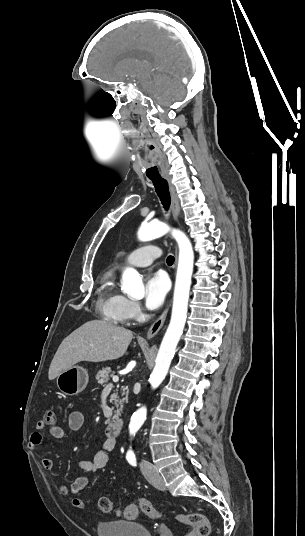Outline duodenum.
Here are the masks:
<instances>
[{
    "mask_svg": "<svg viewBox=\"0 0 305 536\" xmlns=\"http://www.w3.org/2000/svg\"><path fill=\"white\" fill-rule=\"evenodd\" d=\"M123 428L124 422L121 419H116L110 424L106 425L105 432L109 438H114L121 435V433L123 432Z\"/></svg>",
    "mask_w": 305,
    "mask_h": 536,
    "instance_id": "duodenum-1",
    "label": "duodenum"
}]
</instances>
